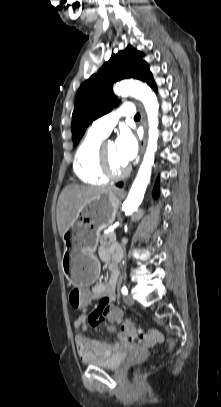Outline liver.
<instances>
[{
    "mask_svg": "<svg viewBox=\"0 0 221 407\" xmlns=\"http://www.w3.org/2000/svg\"><path fill=\"white\" fill-rule=\"evenodd\" d=\"M110 187L82 186L71 184L66 186L57 202V226L62 237L66 229L77 218L81 208L94 196L110 190Z\"/></svg>",
    "mask_w": 221,
    "mask_h": 407,
    "instance_id": "6515ba94",
    "label": "liver"
}]
</instances>
